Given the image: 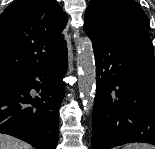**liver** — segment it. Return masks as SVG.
<instances>
[{
	"label": "liver",
	"instance_id": "6515ba94",
	"mask_svg": "<svg viewBox=\"0 0 155 149\" xmlns=\"http://www.w3.org/2000/svg\"><path fill=\"white\" fill-rule=\"evenodd\" d=\"M0 149H32V147L12 136L0 134Z\"/></svg>",
	"mask_w": 155,
	"mask_h": 149
}]
</instances>
